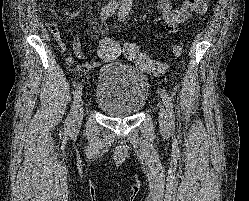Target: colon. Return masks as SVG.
<instances>
[{
  "label": "colon",
  "instance_id": "1",
  "mask_svg": "<svg viewBox=\"0 0 249 201\" xmlns=\"http://www.w3.org/2000/svg\"><path fill=\"white\" fill-rule=\"evenodd\" d=\"M121 51H123L126 59L132 61L138 68L148 72L149 74L153 76H161L164 74V63L151 59L134 43H127L121 49L116 41L110 38H104L100 42L98 53L101 59L105 61H112L120 55ZM183 51L184 49L181 43L173 45L171 50L172 55L175 57L181 56Z\"/></svg>",
  "mask_w": 249,
  "mask_h": 201
}]
</instances>
